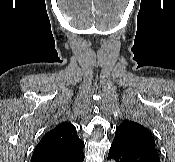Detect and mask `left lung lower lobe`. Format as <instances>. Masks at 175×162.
I'll return each instance as SVG.
<instances>
[{"label": "left lung lower lobe", "instance_id": "left-lung-lower-lobe-1", "mask_svg": "<svg viewBox=\"0 0 175 162\" xmlns=\"http://www.w3.org/2000/svg\"><path fill=\"white\" fill-rule=\"evenodd\" d=\"M110 158L116 162H160L155 146L127 144L116 139L109 150Z\"/></svg>", "mask_w": 175, "mask_h": 162}]
</instances>
